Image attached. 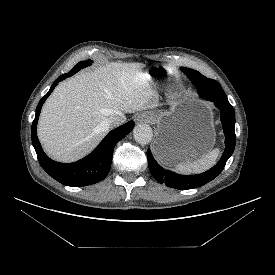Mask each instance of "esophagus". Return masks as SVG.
I'll return each mask as SVG.
<instances>
[{
  "mask_svg": "<svg viewBox=\"0 0 275 275\" xmlns=\"http://www.w3.org/2000/svg\"><path fill=\"white\" fill-rule=\"evenodd\" d=\"M152 116L146 113L140 114L137 116L136 120L138 122H145V123H149L152 121Z\"/></svg>",
  "mask_w": 275,
  "mask_h": 275,
  "instance_id": "1",
  "label": "esophagus"
}]
</instances>
